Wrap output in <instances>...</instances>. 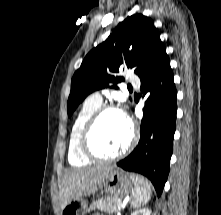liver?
I'll list each match as a JSON object with an SVG mask.
<instances>
[{
  "mask_svg": "<svg viewBox=\"0 0 221 215\" xmlns=\"http://www.w3.org/2000/svg\"><path fill=\"white\" fill-rule=\"evenodd\" d=\"M112 170V166L99 165L67 172L59 188L61 210L73 199L89 196L96 192Z\"/></svg>",
  "mask_w": 221,
  "mask_h": 215,
  "instance_id": "1",
  "label": "liver"
}]
</instances>
